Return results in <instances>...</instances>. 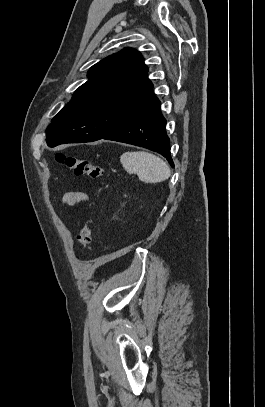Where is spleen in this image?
<instances>
[{"mask_svg": "<svg viewBox=\"0 0 265 407\" xmlns=\"http://www.w3.org/2000/svg\"><path fill=\"white\" fill-rule=\"evenodd\" d=\"M124 169L136 173L146 183H158L170 177V168L158 156L145 151L125 152L120 158Z\"/></svg>", "mask_w": 265, "mask_h": 407, "instance_id": "obj_1", "label": "spleen"}]
</instances>
